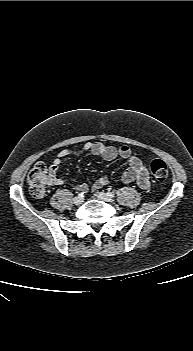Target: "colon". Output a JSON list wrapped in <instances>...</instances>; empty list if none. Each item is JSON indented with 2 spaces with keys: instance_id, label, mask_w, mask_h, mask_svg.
I'll return each mask as SVG.
<instances>
[{
  "instance_id": "5ec220e1",
  "label": "colon",
  "mask_w": 193,
  "mask_h": 351,
  "mask_svg": "<svg viewBox=\"0 0 193 351\" xmlns=\"http://www.w3.org/2000/svg\"><path fill=\"white\" fill-rule=\"evenodd\" d=\"M150 172L158 181H164L169 175L167 164L161 159H154L150 163ZM50 170L45 163H37L30 171L27 183L31 194L35 197H43L50 181Z\"/></svg>"
}]
</instances>
